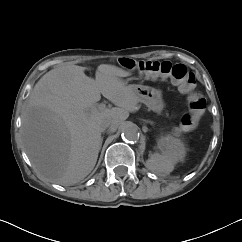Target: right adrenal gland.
Listing matches in <instances>:
<instances>
[{"label": "right adrenal gland", "instance_id": "2a0ac1e0", "mask_svg": "<svg viewBox=\"0 0 242 242\" xmlns=\"http://www.w3.org/2000/svg\"><path fill=\"white\" fill-rule=\"evenodd\" d=\"M102 140H103V138H101V145H102Z\"/></svg>", "mask_w": 242, "mask_h": 242}]
</instances>
